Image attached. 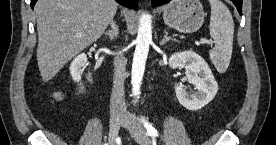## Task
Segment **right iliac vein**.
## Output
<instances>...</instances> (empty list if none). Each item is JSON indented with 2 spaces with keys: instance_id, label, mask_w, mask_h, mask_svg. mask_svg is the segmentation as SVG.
Wrapping results in <instances>:
<instances>
[{
  "instance_id": "1",
  "label": "right iliac vein",
  "mask_w": 276,
  "mask_h": 145,
  "mask_svg": "<svg viewBox=\"0 0 276 145\" xmlns=\"http://www.w3.org/2000/svg\"><path fill=\"white\" fill-rule=\"evenodd\" d=\"M124 118L121 115H112L110 117L109 125V144L114 145L118 137L120 125L122 124Z\"/></svg>"
}]
</instances>
